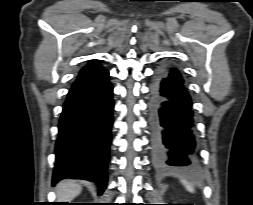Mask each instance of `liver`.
<instances>
[{
  "instance_id": "6515ba94",
  "label": "liver",
  "mask_w": 253,
  "mask_h": 205,
  "mask_svg": "<svg viewBox=\"0 0 253 205\" xmlns=\"http://www.w3.org/2000/svg\"><path fill=\"white\" fill-rule=\"evenodd\" d=\"M82 186L75 180H63L56 186L57 197L60 202L72 201L80 194Z\"/></svg>"
}]
</instances>
